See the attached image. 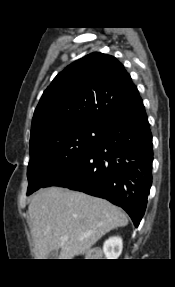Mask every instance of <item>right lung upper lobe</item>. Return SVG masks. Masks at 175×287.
<instances>
[{
    "label": "right lung upper lobe",
    "instance_id": "obj_1",
    "mask_svg": "<svg viewBox=\"0 0 175 287\" xmlns=\"http://www.w3.org/2000/svg\"><path fill=\"white\" fill-rule=\"evenodd\" d=\"M142 105L122 63L91 53L67 66L44 91L33 115L30 143L75 125L106 126Z\"/></svg>",
    "mask_w": 175,
    "mask_h": 287
}]
</instances>
